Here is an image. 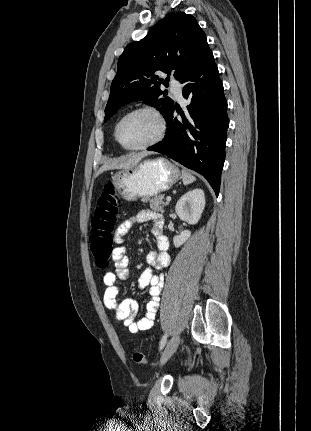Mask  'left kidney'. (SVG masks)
I'll use <instances>...</instances> for the list:
<instances>
[{
  "instance_id": "obj_1",
  "label": "left kidney",
  "mask_w": 311,
  "mask_h": 431,
  "mask_svg": "<svg viewBox=\"0 0 311 431\" xmlns=\"http://www.w3.org/2000/svg\"><path fill=\"white\" fill-rule=\"evenodd\" d=\"M204 208L205 194L203 190L196 188V190H191V192H187V194L181 196L175 206V212L182 221H187V223H198L203 214ZM190 235L191 231H189V229H184V231H181L180 235H174L173 243L175 247L183 245V243L189 239Z\"/></svg>"
}]
</instances>
